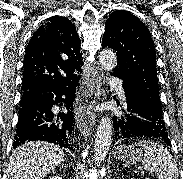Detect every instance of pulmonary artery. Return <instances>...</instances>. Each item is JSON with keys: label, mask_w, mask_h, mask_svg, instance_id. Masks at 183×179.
<instances>
[{"label": "pulmonary artery", "mask_w": 183, "mask_h": 179, "mask_svg": "<svg viewBox=\"0 0 183 179\" xmlns=\"http://www.w3.org/2000/svg\"><path fill=\"white\" fill-rule=\"evenodd\" d=\"M109 83H110V85H112L113 87H115L117 89L120 98L125 100V93H124V89L121 84V81L117 78H111L109 80Z\"/></svg>", "instance_id": "obj_1"}]
</instances>
